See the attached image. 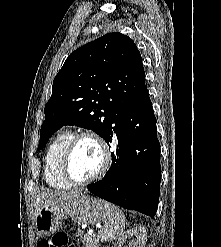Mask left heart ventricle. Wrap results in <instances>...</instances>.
<instances>
[{"mask_svg": "<svg viewBox=\"0 0 221 247\" xmlns=\"http://www.w3.org/2000/svg\"><path fill=\"white\" fill-rule=\"evenodd\" d=\"M102 155L98 145L90 140H81L76 146L70 169L73 177L77 180H85L93 176L101 167Z\"/></svg>", "mask_w": 221, "mask_h": 247, "instance_id": "b2bd125f", "label": "left heart ventricle"}]
</instances>
